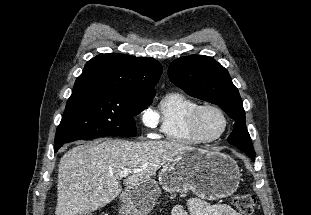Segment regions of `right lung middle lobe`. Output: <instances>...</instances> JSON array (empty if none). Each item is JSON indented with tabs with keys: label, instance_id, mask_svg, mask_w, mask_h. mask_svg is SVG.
Returning <instances> with one entry per match:
<instances>
[{
	"label": "right lung middle lobe",
	"instance_id": "dd1d6c3e",
	"mask_svg": "<svg viewBox=\"0 0 311 215\" xmlns=\"http://www.w3.org/2000/svg\"><path fill=\"white\" fill-rule=\"evenodd\" d=\"M154 96H140L98 88L73 89L57 128L55 145L100 136L137 135L136 116Z\"/></svg>",
	"mask_w": 311,
	"mask_h": 215
}]
</instances>
